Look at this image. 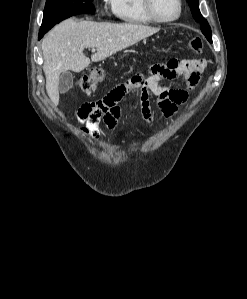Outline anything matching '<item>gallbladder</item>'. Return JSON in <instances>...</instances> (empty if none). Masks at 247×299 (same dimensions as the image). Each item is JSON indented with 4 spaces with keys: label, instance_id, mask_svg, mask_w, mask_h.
<instances>
[{
    "label": "gallbladder",
    "instance_id": "1",
    "mask_svg": "<svg viewBox=\"0 0 247 299\" xmlns=\"http://www.w3.org/2000/svg\"><path fill=\"white\" fill-rule=\"evenodd\" d=\"M73 87V75L70 71L62 72L59 76L58 90L61 94L68 92Z\"/></svg>",
    "mask_w": 247,
    "mask_h": 299
}]
</instances>
